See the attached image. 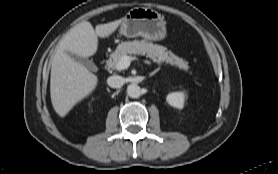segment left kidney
<instances>
[{"label":"left kidney","mask_w":278,"mask_h":174,"mask_svg":"<svg viewBox=\"0 0 278 174\" xmlns=\"http://www.w3.org/2000/svg\"><path fill=\"white\" fill-rule=\"evenodd\" d=\"M166 100L169 105L182 109L185 102V94L183 92H172L167 95Z\"/></svg>","instance_id":"1"}]
</instances>
